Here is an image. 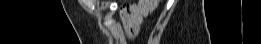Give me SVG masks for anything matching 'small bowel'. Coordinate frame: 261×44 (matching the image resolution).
Listing matches in <instances>:
<instances>
[{"instance_id":"c3829d8e","label":"small bowel","mask_w":261,"mask_h":44,"mask_svg":"<svg viewBox=\"0 0 261 44\" xmlns=\"http://www.w3.org/2000/svg\"><path fill=\"white\" fill-rule=\"evenodd\" d=\"M147 13L148 10L142 2L131 5L122 11V27L127 37L132 38L138 33L143 18Z\"/></svg>"}]
</instances>
